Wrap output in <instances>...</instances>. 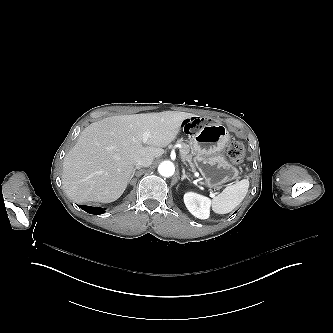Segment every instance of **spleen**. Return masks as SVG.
Instances as JSON below:
<instances>
[{"label":"spleen","mask_w":333,"mask_h":333,"mask_svg":"<svg viewBox=\"0 0 333 333\" xmlns=\"http://www.w3.org/2000/svg\"><path fill=\"white\" fill-rule=\"evenodd\" d=\"M249 181L243 179L228 185L211 200V209L216 214H226L235 209L246 197Z\"/></svg>","instance_id":"3e777b00"}]
</instances>
